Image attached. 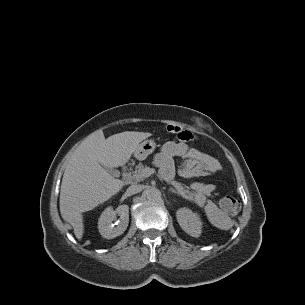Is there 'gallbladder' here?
<instances>
[{
    "label": "gallbladder",
    "instance_id": "1",
    "mask_svg": "<svg viewBox=\"0 0 305 305\" xmlns=\"http://www.w3.org/2000/svg\"><path fill=\"white\" fill-rule=\"evenodd\" d=\"M105 169L113 176H116L117 175V171L113 168H107L105 167Z\"/></svg>",
    "mask_w": 305,
    "mask_h": 305
}]
</instances>
